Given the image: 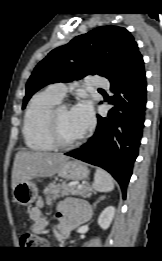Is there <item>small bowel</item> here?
<instances>
[{"mask_svg": "<svg viewBox=\"0 0 162 261\" xmlns=\"http://www.w3.org/2000/svg\"><path fill=\"white\" fill-rule=\"evenodd\" d=\"M41 205H42V202L39 201L37 206L33 207L29 211V219H30L31 224H32V229L36 233L41 232L47 225V221L42 216V213H41ZM57 210H58V215L61 219V225L60 226L68 228V226L70 224V219L68 217V205H66L64 203L60 204L58 206Z\"/></svg>", "mask_w": 162, "mask_h": 261, "instance_id": "obj_1", "label": "small bowel"}]
</instances>
